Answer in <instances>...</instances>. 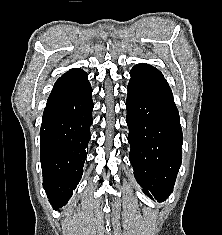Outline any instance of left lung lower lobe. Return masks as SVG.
I'll use <instances>...</instances> for the list:
<instances>
[{"label": "left lung lower lobe", "instance_id": "left-lung-lower-lobe-1", "mask_svg": "<svg viewBox=\"0 0 222 235\" xmlns=\"http://www.w3.org/2000/svg\"><path fill=\"white\" fill-rule=\"evenodd\" d=\"M130 76L126 100L129 159L143 192L163 202L173 191L182 160L179 113L158 69L140 63Z\"/></svg>", "mask_w": 222, "mask_h": 235}]
</instances>
